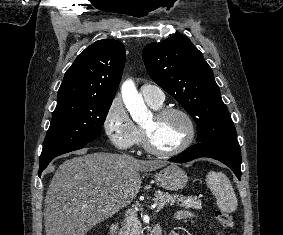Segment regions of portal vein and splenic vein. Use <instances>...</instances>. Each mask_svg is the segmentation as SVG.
I'll use <instances>...</instances> for the list:
<instances>
[{"label": "portal vein and splenic vein", "instance_id": "1", "mask_svg": "<svg viewBox=\"0 0 283 235\" xmlns=\"http://www.w3.org/2000/svg\"><path fill=\"white\" fill-rule=\"evenodd\" d=\"M164 205H165L164 203H159L157 206L154 205L152 207L155 208V212H159L164 207ZM127 212L129 215L135 214V211L132 209H128Z\"/></svg>", "mask_w": 283, "mask_h": 235}]
</instances>
